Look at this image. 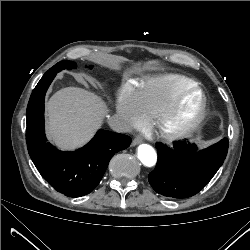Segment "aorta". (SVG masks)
Listing matches in <instances>:
<instances>
[{"instance_id": "obj_1", "label": "aorta", "mask_w": 250, "mask_h": 250, "mask_svg": "<svg viewBox=\"0 0 250 250\" xmlns=\"http://www.w3.org/2000/svg\"><path fill=\"white\" fill-rule=\"evenodd\" d=\"M138 158L143 165L152 167L156 164L157 154L152 146L141 144L138 147Z\"/></svg>"}]
</instances>
